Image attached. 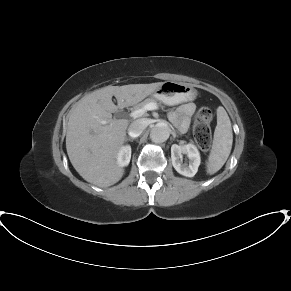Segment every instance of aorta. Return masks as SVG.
Here are the masks:
<instances>
[{
    "mask_svg": "<svg viewBox=\"0 0 291 291\" xmlns=\"http://www.w3.org/2000/svg\"><path fill=\"white\" fill-rule=\"evenodd\" d=\"M171 133L170 127L165 123H157L150 132V139L154 143L165 142Z\"/></svg>",
    "mask_w": 291,
    "mask_h": 291,
    "instance_id": "obj_1",
    "label": "aorta"
}]
</instances>
